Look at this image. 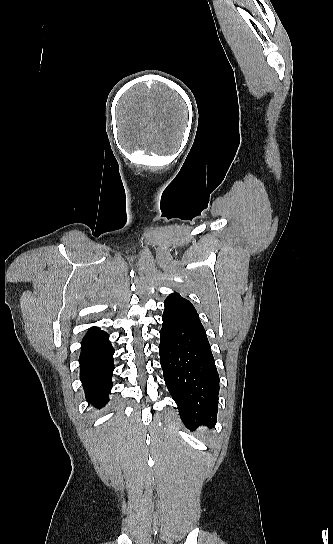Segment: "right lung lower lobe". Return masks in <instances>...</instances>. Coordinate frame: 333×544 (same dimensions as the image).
<instances>
[{
  "label": "right lung lower lobe",
  "mask_w": 333,
  "mask_h": 544,
  "mask_svg": "<svg viewBox=\"0 0 333 544\" xmlns=\"http://www.w3.org/2000/svg\"><path fill=\"white\" fill-rule=\"evenodd\" d=\"M113 354L108 333L99 327L89 329L81 345L80 379L86 399L99 409L109 401L114 371Z\"/></svg>",
  "instance_id": "obj_1"
}]
</instances>
